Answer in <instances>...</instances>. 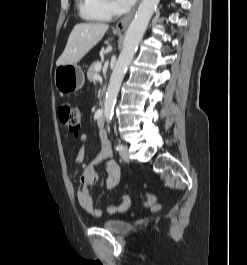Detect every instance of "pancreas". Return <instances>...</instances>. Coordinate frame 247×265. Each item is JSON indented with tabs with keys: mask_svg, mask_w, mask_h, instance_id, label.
I'll return each mask as SVG.
<instances>
[{
	"mask_svg": "<svg viewBox=\"0 0 247 265\" xmlns=\"http://www.w3.org/2000/svg\"><path fill=\"white\" fill-rule=\"evenodd\" d=\"M97 65H101V63L99 61H96L92 63L91 66L89 67L87 71V78L89 81H92L94 77L98 75V71H96L95 69Z\"/></svg>",
	"mask_w": 247,
	"mask_h": 265,
	"instance_id": "pancreas-1",
	"label": "pancreas"
}]
</instances>
